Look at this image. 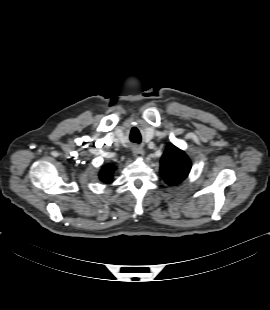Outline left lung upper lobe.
<instances>
[{
	"label": "left lung upper lobe",
	"mask_w": 270,
	"mask_h": 310,
	"mask_svg": "<svg viewBox=\"0 0 270 310\" xmlns=\"http://www.w3.org/2000/svg\"><path fill=\"white\" fill-rule=\"evenodd\" d=\"M191 162L187 155L169 144L161 158V176L169 185H177L189 174Z\"/></svg>",
	"instance_id": "obj_1"
}]
</instances>
